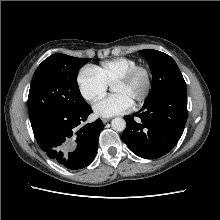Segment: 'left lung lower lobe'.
Masks as SVG:
<instances>
[{
  "label": "left lung lower lobe",
  "mask_w": 220,
  "mask_h": 220,
  "mask_svg": "<svg viewBox=\"0 0 220 220\" xmlns=\"http://www.w3.org/2000/svg\"><path fill=\"white\" fill-rule=\"evenodd\" d=\"M134 116L141 122L137 123ZM124 118L126 128L122 139L130 150L145 159L159 158L175 147L183 133L187 121V89L166 92Z\"/></svg>",
  "instance_id": "obj_1"
}]
</instances>
